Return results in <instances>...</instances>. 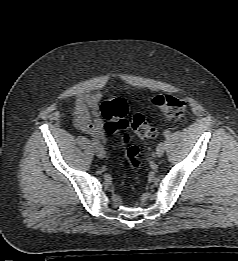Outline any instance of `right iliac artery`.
<instances>
[{
    "mask_svg": "<svg viewBox=\"0 0 238 261\" xmlns=\"http://www.w3.org/2000/svg\"><path fill=\"white\" fill-rule=\"evenodd\" d=\"M92 143H93V145H95L96 147H102L101 144H100L97 140H95V139H92Z\"/></svg>",
    "mask_w": 238,
    "mask_h": 261,
    "instance_id": "obj_1",
    "label": "right iliac artery"
}]
</instances>
